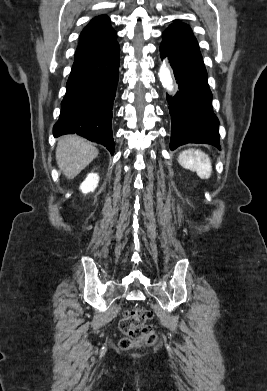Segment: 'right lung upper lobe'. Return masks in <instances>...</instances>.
Here are the masks:
<instances>
[{
  "instance_id": "right-lung-upper-lobe-1",
  "label": "right lung upper lobe",
  "mask_w": 267,
  "mask_h": 391,
  "mask_svg": "<svg viewBox=\"0 0 267 391\" xmlns=\"http://www.w3.org/2000/svg\"><path fill=\"white\" fill-rule=\"evenodd\" d=\"M116 38L117 35L110 25L109 17L100 15L91 20L81 32L74 59H79L108 48L117 43Z\"/></svg>"
}]
</instances>
